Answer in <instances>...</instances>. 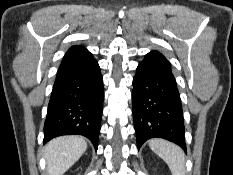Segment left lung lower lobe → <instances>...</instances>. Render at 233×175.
Returning <instances> with one entry per match:
<instances>
[{
	"label": "left lung lower lobe",
	"mask_w": 233,
	"mask_h": 175,
	"mask_svg": "<svg viewBox=\"0 0 233 175\" xmlns=\"http://www.w3.org/2000/svg\"><path fill=\"white\" fill-rule=\"evenodd\" d=\"M132 104L138 149L148 139L159 137L186 150L180 95L171 64L160 52L151 51L138 65Z\"/></svg>",
	"instance_id": "1"
}]
</instances>
